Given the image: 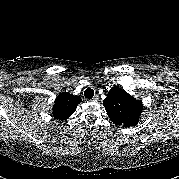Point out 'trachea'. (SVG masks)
Wrapping results in <instances>:
<instances>
[{
  "label": "trachea",
  "instance_id": "obj_1",
  "mask_svg": "<svg viewBox=\"0 0 179 179\" xmlns=\"http://www.w3.org/2000/svg\"><path fill=\"white\" fill-rule=\"evenodd\" d=\"M84 96H85L87 99H92L93 96H94V91H93V89L87 88V89L84 91Z\"/></svg>",
  "mask_w": 179,
  "mask_h": 179
}]
</instances>
